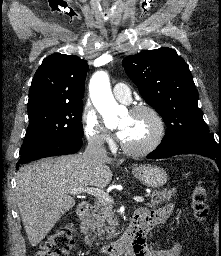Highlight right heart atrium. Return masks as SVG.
Wrapping results in <instances>:
<instances>
[{
  "mask_svg": "<svg viewBox=\"0 0 221 256\" xmlns=\"http://www.w3.org/2000/svg\"><path fill=\"white\" fill-rule=\"evenodd\" d=\"M82 125L86 139L92 146L104 147L111 141L108 130L91 105H86L82 113Z\"/></svg>",
  "mask_w": 221,
  "mask_h": 256,
  "instance_id": "1",
  "label": "right heart atrium"
}]
</instances>
